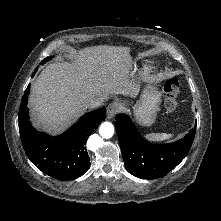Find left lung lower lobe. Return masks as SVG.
Instances as JSON below:
<instances>
[{"label": "left lung lower lobe", "mask_w": 221, "mask_h": 221, "mask_svg": "<svg viewBox=\"0 0 221 221\" xmlns=\"http://www.w3.org/2000/svg\"><path fill=\"white\" fill-rule=\"evenodd\" d=\"M115 127L127 171L142 179H156L175 168L188 154L196 133L195 126L184 138L157 145L145 141L125 114L116 116Z\"/></svg>", "instance_id": "0a47b994"}]
</instances>
